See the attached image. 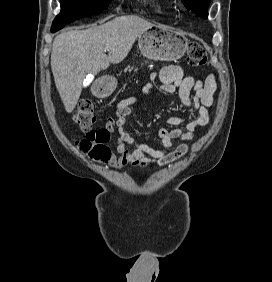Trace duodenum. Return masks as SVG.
Instances as JSON below:
<instances>
[{
	"instance_id": "410a0bca",
	"label": "duodenum",
	"mask_w": 272,
	"mask_h": 282,
	"mask_svg": "<svg viewBox=\"0 0 272 282\" xmlns=\"http://www.w3.org/2000/svg\"><path fill=\"white\" fill-rule=\"evenodd\" d=\"M109 81L104 80L94 86V91L97 93L98 97L107 92Z\"/></svg>"
}]
</instances>
